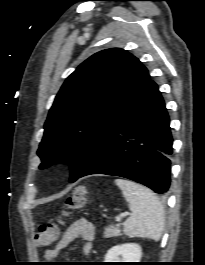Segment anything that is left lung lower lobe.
<instances>
[{"mask_svg": "<svg viewBox=\"0 0 205 265\" xmlns=\"http://www.w3.org/2000/svg\"><path fill=\"white\" fill-rule=\"evenodd\" d=\"M170 154L169 117L158 86L149 80L142 96L74 181L107 174L164 194L170 186Z\"/></svg>", "mask_w": 205, "mask_h": 265, "instance_id": "0a47b994", "label": "left lung lower lobe"}]
</instances>
